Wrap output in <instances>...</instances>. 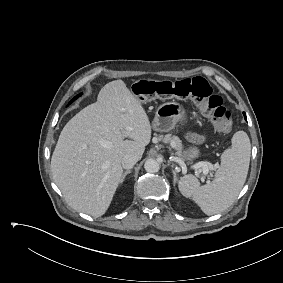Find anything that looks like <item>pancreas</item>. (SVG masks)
Listing matches in <instances>:
<instances>
[{"label":"pancreas","instance_id":"pancreas-1","mask_svg":"<svg viewBox=\"0 0 283 283\" xmlns=\"http://www.w3.org/2000/svg\"><path fill=\"white\" fill-rule=\"evenodd\" d=\"M160 139L163 140L165 143H170L171 146L177 151L176 154L180 155L182 150V143L181 140L177 136H172L170 134L160 136Z\"/></svg>","mask_w":283,"mask_h":283}]
</instances>
